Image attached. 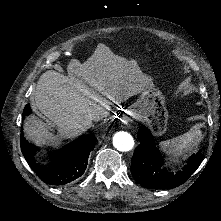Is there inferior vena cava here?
Instances as JSON below:
<instances>
[{
  "label": "inferior vena cava",
  "instance_id": "inferior-vena-cava-1",
  "mask_svg": "<svg viewBox=\"0 0 221 221\" xmlns=\"http://www.w3.org/2000/svg\"><path fill=\"white\" fill-rule=\"evenodd\" d=\"M110 111V108L107 106H101L95 111L92 116L90 117V121L93 124V122H98L102 119H104L106 116H108Z\"/></svg>",
  "mask_w": 221,
  "mask_h": 221
}]
</instances>
